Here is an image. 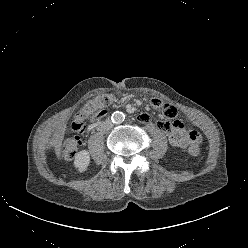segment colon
<instances>
[{"mask_svg":"<svg viewBox=\"0 0 248 248\" xmlns=\"http://www.w3.org/2000/svg\"><path fill=\"white\" fill-rule=\"evenodd\" d=\"M113 101V98L109 94H103L98 96L92 102L85 104L81 107L79 114L72 122L73 130L82 135L86 132L87 125L86 119L93 113L95 116L102 111L105 107H108ZM178 115V114H177ZM201 142L202 137L199 132H192V142L188 148V152L192 156H198L201 153ZM81 145V140L78 136L71 137L64 141V143L60 147L61 156L65 161H70L78 148Z\"/></svg>","mask_w":248,"mask_h":248,"instance_id":"1","label":"colon"}]
</instances>
